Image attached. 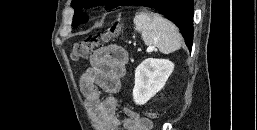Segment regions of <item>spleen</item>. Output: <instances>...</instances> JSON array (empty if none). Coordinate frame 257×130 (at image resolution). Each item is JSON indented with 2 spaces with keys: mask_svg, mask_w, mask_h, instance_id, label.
Returning <instances> with one entry per match:
<instances>
[{
  "mask_svg": "<svg viewBox=\"0 0 257 130\" xmlns=\"http://www.w3.org/2000/svg\"><path fill=\"white\" fill-rule=\"evenodd\" d=\"M135 30L147 46H156L164 54L179 50L182 37L177 27L159 14L141 11L134 17Z\"/></svg>",
  "mask_w": 257,
  "mask_h": 130,
  "instance_id": "1",
  "label": "spleen"
}]
</instances>
